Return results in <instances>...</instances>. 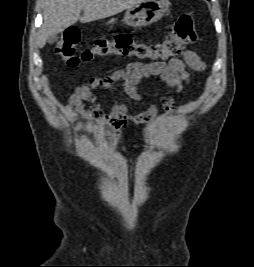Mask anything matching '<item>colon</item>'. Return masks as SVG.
<instances>
[{
  "instance_id": "1",
  "label": "colon",
  "mask_w": 254,
  "mask_h": 267,
  "mask_svg": "<svg viewBox=\"0 0 254 267\" xmlns=\"http://www.w3.org/2000/svg\"><path fill=\"white\" fill-rule=\"evenodd\" d=\"M80 38L77 28H68L55 47L56 52L69 67H76L81 62L90 61L96 57L110 55L154 61L167 60L181 55L187 45L195 42L197 34L194 16L184 14L173 22L165 39L154 44L140 43L130 35L119 34L113 38H98L91 48L78 55L77 47Z\"/></svg>"
}]
</instances>
